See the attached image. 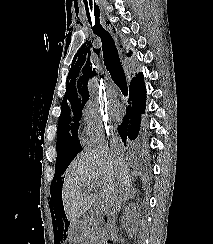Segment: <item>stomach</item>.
I'll return each instance as SVG.
<instances>
[{
  "instance_id": "1",
  "label": "stomach",
  "mask_w": 213,
  "mask_h": 244,
  "mask_svg": "<svg viewBox=\"0 0 213 244\" xmlns=\"http://www.w3.org/2000/svg\"><path fill=\"white\" fill-rule=\"evenodd\" d=\"M83 221H71L70 236L76 241H81L83 239Z\"/></svg>"
}]
</instances>
